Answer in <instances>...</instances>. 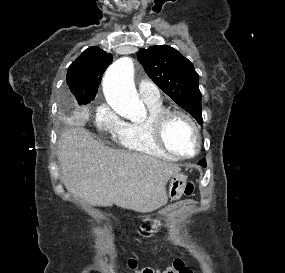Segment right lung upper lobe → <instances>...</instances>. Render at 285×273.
<instances>
[{"mask_svg": "<svg viewBox=\"0 0 285 273\" xmlns=\"http://www.w3.org/2000/svg\"><path fill=\"white\" fill-rule=\"evenodd\" d=\"M113 57L98 47L86 49L68 68L67 84L79 105L95 99L101 77Z\"/></svg>", "mask_w": 285, "mask_h": 273, "instance_id": "cb5924a9", "label": "right lung upper lobe"}]
</instances>
